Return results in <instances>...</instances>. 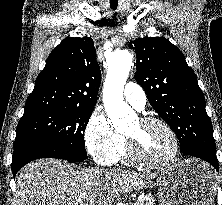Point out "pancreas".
Here are the masks:
<instances>
[{
	"label": "pancreas",
	"instance_id": "1",
	"mask_svg": "<svg viewBox=\"0 0 222 205\" xmlns=\"http://www.w3.org/2000/svg\"><path fill=\"white\" fill-rule=\"evenodd\" d=\"M134 205H154V198L151 195L145 196L138 200Z\"/></svg>",
	"mask_w": 222,
	"mask_h": 205
}]
</instances>
